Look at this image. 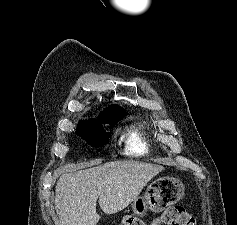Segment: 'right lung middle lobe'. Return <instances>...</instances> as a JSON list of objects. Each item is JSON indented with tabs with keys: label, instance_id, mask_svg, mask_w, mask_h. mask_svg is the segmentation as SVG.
Returning <instances> with one entry per match:
<instances>
[{
	"label": "right lung middle lobe",
	"instance_id": "1",
	"mask_svg": "<svg viewBox=\"0 0 237 225\" xmlns=\"http://www.w3.org/2000/svg\"><path fill=\"white\" fill-rule=\"evenodd\" d=\"M124 115L116 116L110 113L103 112L99 120L91 119L85 124L78 125L77 133L84 138L91 146L100 147L104 145L110 137V133H107L102 126L104 124H110L114 126Z\"/></svg>",
	"mask_w": 237,
	"mask_h": 225
}]
</instances>
